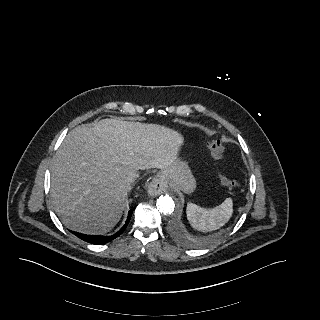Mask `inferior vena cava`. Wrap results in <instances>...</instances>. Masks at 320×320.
Masks as SVG:
<instances>
[{"instance_id": "obj_1", "label": "inferior vena cava", "mask_w": 320, "mask_h": 320, "mask_svg": "<svg viewBox=\"0 0 320 320\" xmlns=\"http://www.w3.org/2000/svg\"><path fill=\"white\" fill-rule=\"evenodd\" d=\"M139 177V173L138 172H130L127 176V181L129 183H132L134 182V180Z\"/></svg>"}]
</instances>
